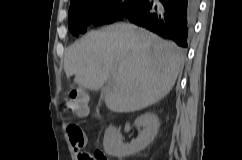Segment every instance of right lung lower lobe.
I'll list each match as a JSON object with an SVG mask.
<instances>
[{
	"label": "right lung lower lobe",
	"mask_w": 242,
	"mask_h": 160,
	"mask_svg": "<svg viewBox=\"0 0 242 160\" xmlns=\"http://www.w3.org/2000/svg\"><path fill=\"white\" fill-rule=\"evenodd\" d=\"M199 0H141L120 20L127 19L187 47Z\"/></svg>",
	"instance_id": "98d812e1"
}]
</instances>
